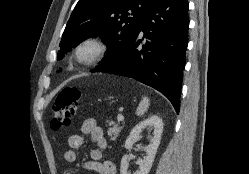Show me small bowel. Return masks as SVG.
Returning a JSON list of instances; mask_svg holds the SVG:
<instances>
[{
	"label": "small bowel",
	"mask_w": 249,
	"mask_h": 174,
	"mask_svg": "<svg viewBox=\"0 0 249 174\" xmlns=\"http://www.w3.org/2000/svg\"><path fill=\"white\" fill-rule=\"evenodd\" d=\"M86 136L90 137V140L96 145V148L89 151L91 160L83 162L81 165L82 168L85 170H93L98 174H116L115 165L111 161L103 160V151L107 149L108 142L103 130L96 124L93 118L84 120L80 133L72 134L68 137L70 149L65 152L64 160L67 163H74L77 160L78 150L83 146Z\"/></svg>",
	"instance_id": "small-bowel-1"
}]
</instances>
